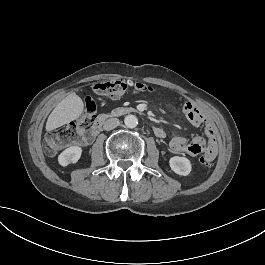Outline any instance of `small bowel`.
<instances>
[{
	"instance_id": "obj_1",
	"label": "small bowel",
	"mask_w": 265,
	"mask_h": 265,
	"mask_svg": "<svg viewBox=\"0 0 265 265\" xmlns=\"http://www.w3.org/2000/svg\"><path fill=\"white\" fill-rule=\"evenodd\" d=\"M182 111L186 118L194 125H206V132L209 138L208 143L202 137L187 139L175 136L169 141V148L176 153H185L190 156L203 154L209 162L214 161L217 156V142L212 123L193 103L183 104Z\"/></svg>"
}]
</instances>
